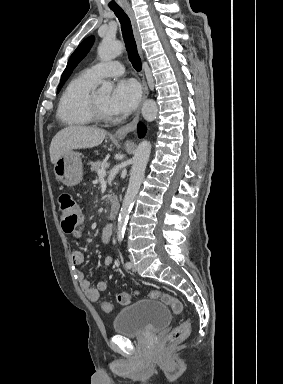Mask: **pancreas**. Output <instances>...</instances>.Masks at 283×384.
<instances>
[{
	"label": "pancreas",
	"instance_id": "cf45deb5",
	"mask_svg": "<svg viewBox=\"0 0 283 384\" xmlns=\"http://www.w3.org/2000/svg\"><path fill=\"white\" fill-rule=\"evenodd\" d=\"M101 166L102 162H100V160H98V162H94V164H92L91 172H98V170H101Z\"/></svg>",
	"mask_w": 283,
	"mask_h": 384
}]
</instances>
